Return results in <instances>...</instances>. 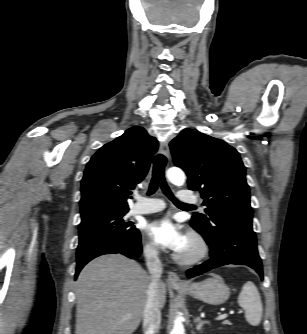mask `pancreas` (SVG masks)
I'll list each match as a JSON object with an SVG mask.
<instances>
[{
  "label": "pancreas",
  "instance_id": "1",
  "mask_svg": "<svg viewBox=\"0 0 307 334\" xmlns=\"http://www.w3.org/2000/svg\"><path fill=\"white\" fill-rule=\"evenodd\" d=\"M223 324H224V325H231V322L228 321V320H226V321L223 322Z\"/></svg>",
  "mask_w": 307,
  "mask_h": 334
}]
</instances>
